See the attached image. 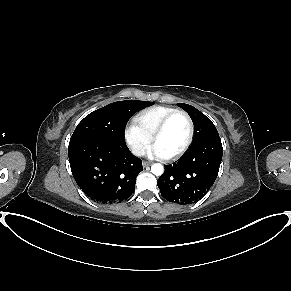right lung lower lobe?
I'll return each mask as SVG.
<instances>
[{"label":"right lung lower lobe","instance_id":"right-lung-lower-lobe-1","mask_svg":"<svg viewBox=\"0 0 291 291\" xmlns=\"http://www.w3.org/2000/svg\"><path fill=\"white\" fill-rule=\"evenodd\" d=\"M68 157L74 179L82 191L101 204L119 203L135 190L142 161L126 144L84 139L69 143Z\"/></svg>","mask_w":291,"mask_h":291}]
</instances>
